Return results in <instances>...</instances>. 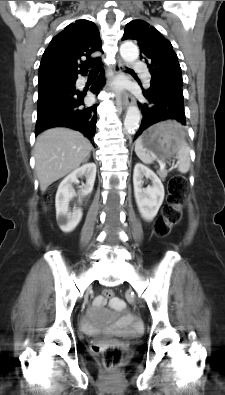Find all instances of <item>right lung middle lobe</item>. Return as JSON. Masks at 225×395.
I'll return each mask as SVG.
<instances>
[{
	"instance_id": "dd1d6c3e",
	"label": "right lung middle lobe",
	"mask_w": 225,
	"mask_h": 395,
	"mask_svg": "<svg viewBox=\"0 0 225 395\" xmlns=\"http://www.w3.org/2000/svg\"><path fill=\"white\" fill-rule=\"evenodd\" d=\"M71 82H72V81H67V82L59 83V84L52 85V86L41 87V88H39L38 97H40V96L46 94L48 91H50V90H52V89H54V88H56V87H59V86H62V85L71 84Z\"/></svg>"
}]
</instances>
